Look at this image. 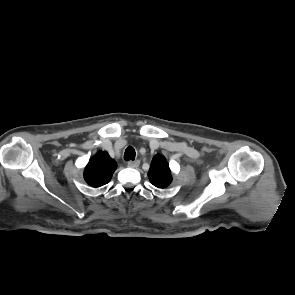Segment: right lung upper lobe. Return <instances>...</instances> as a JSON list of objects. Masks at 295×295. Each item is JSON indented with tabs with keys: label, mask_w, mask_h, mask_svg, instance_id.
Masks as SVG:
<instances>
[{
	"label": "right lung upper lobe",
	"mask_w": 295,
	"mask_h": 295,
	"mask_svg": "<svg viewBox=\"0 0 295 295\" xmlns=\"http://www.w3.org/2000/svg\"><path fill=\"white\" fill-rule=\"evenodd\" d=\"M116 167V162L107 152L99 151L85 167L84 179L92 187H101L110 182Z\"/></svg>",
	"instance_id": "1"
}]
</instances>
